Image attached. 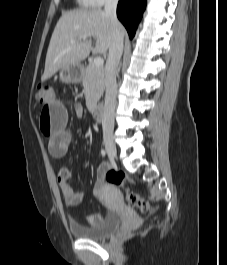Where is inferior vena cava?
<instances>
[{
    "label": "inferior vena cava",
    "instance_id": "1",
    "mask_svg": "<svg viewBox=\"0 0 227 265\" xmlns=\"http://www.w3.org/2000/svg\"><path fill=\"white\" fill-rule=\"evenodd\" d=\"M118 0H106L104 14L109 17L112 24V41L105 67V107L102 119L104 132L111 133L114 127V112L116 108V73L117 67L123 52V35L121 34V24L116 16Z\"/></svg>",
    "mask_w": 227,
    "mask_h": 265
}]
</instances>
